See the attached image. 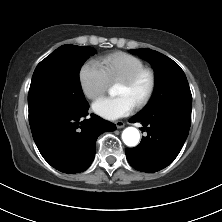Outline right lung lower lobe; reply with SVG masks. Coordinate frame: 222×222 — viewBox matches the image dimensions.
<instances>
[{
	"mask_svg": "<svg viewBox=\"0 0 222 222\" xmlns=\"http://www.w3.org/2000/svg\"><path fill=\"white\" fill-rule=\"evenodd\" d=\"M83 109L69 111L44 110L29 115L33 139L43 158L64 173L85 171L95 156V143L105 131L116 125Z\"/></svg>",
	"mask_w": 222,
	"mask_h": 222,
	"instance_id": "right-lung-lower-lobe-1",
	"label": "right lung lower lobe"
}]
</instances>
